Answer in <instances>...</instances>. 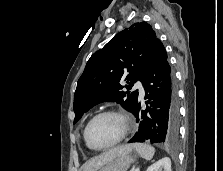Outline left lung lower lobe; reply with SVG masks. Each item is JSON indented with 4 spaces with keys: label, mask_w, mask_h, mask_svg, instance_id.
Instances as JSON below:
<instances>
[{
    "label": "left lung lower lobe",
    "mask_w": 223,
    "mask_h": 171,
    "mask_svg": "<svg viewBox=\"0 0 223 171\" xmlns=\"http://www.w3.org/2000/svg\"><path fill=\"white\" fill-rule=\"evenodd\" d=\"M146 109L137 102L133 114L138 131L129 141L174 144L179 133V104L174 73L161 41L156 44L141 80Z\"/></svg>",
    "instance_id": "1"
}]
</instances>
